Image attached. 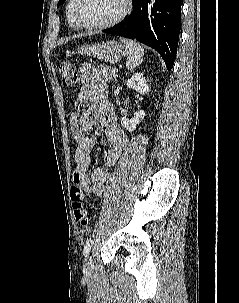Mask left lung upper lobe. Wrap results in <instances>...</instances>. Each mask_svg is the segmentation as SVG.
Returning a JSON list of instances; mask_svg holds the SVG:
<instances>
[{
    "label": "left lung upper lobe",
    "mask_w": 239,
    "mask_h": 303,
    "mask_svg": "<svg viewBox=\"0 0 239 303\" xmlns=\"http://www.w3.org/2000/svg\"><path fill=\"white\" fill-rule=\"evenodd\" d=\"M65 0H59L58 6H60Z\"/></svg>",
    "instance_id": "obj_1"
}]
</instances>
